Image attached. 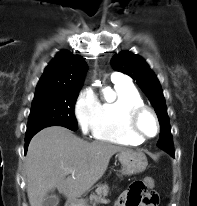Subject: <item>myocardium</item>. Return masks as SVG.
I'll list each match as a JSON object with an SVG mask.
<instances>
[{
  "mask_svg": "<svg viewBox=\"0 0 197 206\" xmlns=\"http://www.w3.org/2000/svg\"><path fill=\"white\" fill-rule=\"evenodd\" d=\"M146 114L150 115L155 122L156 131L153 135L144 134L140 128V120ZM126 124L128 130L142 141L156 137L160 131V123L157 114L152 108L146 105L136 106L128 110L126 114Z\"/></svg>",
  "mask_w": 197,
  "mask_h": 206,
  "instance_id": "f54148a6",
  "label": "myocardium"
}]
</instances>
